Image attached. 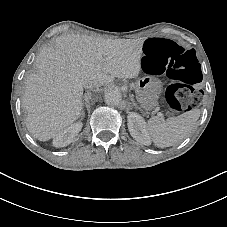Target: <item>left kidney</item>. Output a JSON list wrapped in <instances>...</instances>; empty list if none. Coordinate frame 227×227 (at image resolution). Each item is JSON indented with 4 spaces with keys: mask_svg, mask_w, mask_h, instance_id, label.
<instances>
[{
    "mask_svg": "<svg viewBox=\"0 0 227 227\" xmlns=\"http://www.w3.org/2000/svg\"><path fill=\"white\" fill-rule=\"evenodd\" d=\"M127 125L131 136L143 145H150L151 139L146 129V122L142 116L135 112H130L127 116Z\"/></svg>",
    "mask_w": 227,
    "mask_h": 227,
    "instance_id": "1",
    "label": "left kidney"
}]
</instances>
